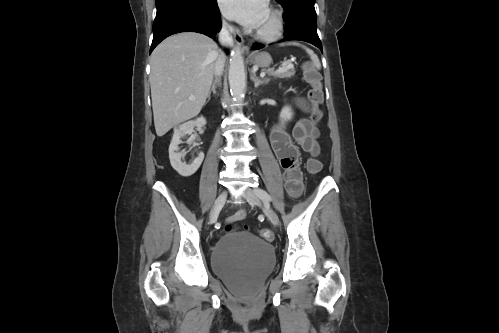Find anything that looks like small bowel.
Wrapping results in <instances>:
<instances>
[{
	"instance_id": "1",
	"label": "small bowel",
	"mask_w": 499,
	"mask_h": 333,
	"mask_svg": "<svg viewBox=\"0 0 499 333\" xmlns=\"http://www.w3.org/2000/svg\"><path fill=\"white\" fill-rule=\"evenodd\" d=\"M298 106L306 113L312 112V108L303 98L298 100ZM319 135V129L308 118L300 119L293 127L291 135L281 126H275L271 132V146L283 169L285 189L293 198L299 197L303 190V177L299 167L300 150L316 158L320 154ZM245 216L246 211L240 209L228 218V222L242 220Z\"/></svg>"
}]
</instances>
